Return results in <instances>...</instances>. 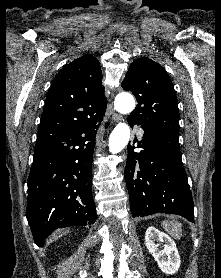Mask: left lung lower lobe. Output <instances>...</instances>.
Masks as SVG:
<instances>
[{
  "label": "left lung lower lobe",
  "mask_w": 221,
  "mask_h": 278,
  "mask_svg": "<svg viewBox=\"0 0 221 278\" xmlns=\"http://www.w3.org/2000/svg\"><path fill=\"white\" fill-rule=\"evenodd\" d=\"M128 122H135L128 117ZM134 152L128 145L125 181L133 217L154 213L180 215L194 222V204L181 160L179 133L144 130ZM142 143V144H141Z\"/></svg>",
  "instance_id": "left-lung-lower-lobe-1"
}]
</instances>
